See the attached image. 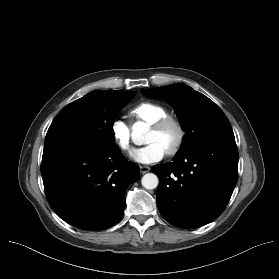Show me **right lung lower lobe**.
Instances as JSON below:
<instances>
[{
    "mask_svg": "<svg viewBox=\"0 0 279 279\" xmlns=\"http://www.w3.org/2000/svg\"><path fill=\"white\" fill-rule=\"evenodd\" d=\"M41 174L54 212L83 230L106 229L122 217L125 191L139 177L117 145L102 149L78 140L44 146Z\"/></svg>",
    "mask_w": 279,
    "mask_h": 279,
    "instance_id": "1",
    "label": "right lung lower lobe"
}]
</instances>
